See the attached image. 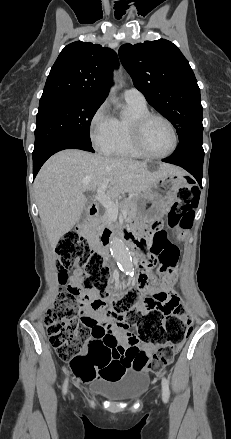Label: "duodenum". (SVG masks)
Here are the masks:
<instances>
[{
  "instance_id": "410a0bca",
  "label": "duodenum",
  "mask_w": 231,
  "mask_h": 439,
  "mask_svg": "<svg viewBox=\"0 0 231 439\" xmlns=\"http://www.w3.org/2000/svg\"><path fill=\"white\" fill-rule=\"evenodd\" d=\"M89 213H90V219L87 220L86 224L81 227V230L84 232L87 231V226L93 221V219L96 216L97 206L95 203L89 204ZM112 235H113V232L109 229H104L102 231V233L99 236V240H98L101 248H103V249L107 248L109 240L112 237ZM124 238L128 243H132V244L136 243V241L130 237V232L124 233Z\"/></svg>"
}]
</instances>
